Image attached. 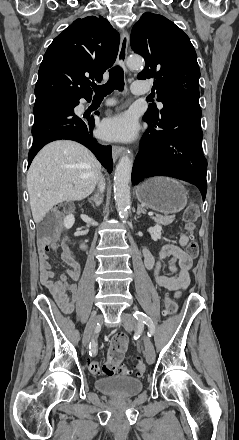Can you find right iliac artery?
Listing matches in <instances>:
<instances>
[{"label":"right iliac artery","instance_id":"obj_1","mask_svg":"<svg viewBox=\"0 0 239 440\" xmlns=\"http://www.w3.org/2000/svg\"><path fill=\"white\" fill-rule=\"evenodd\" d=\"M90 356H95L97 354V343L95 342V340H92V343L90 345V352H89Z\"/></svg>","mask_w":239,"mask_h":440}]
</instances>
